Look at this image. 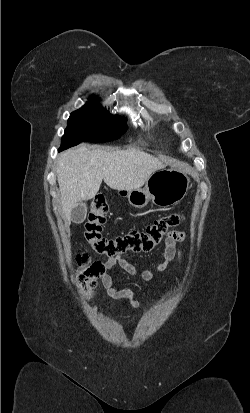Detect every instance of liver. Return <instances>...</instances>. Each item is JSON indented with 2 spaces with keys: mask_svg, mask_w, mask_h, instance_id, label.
Returning a JSON list of instances; mask_svg holds the SVG:
<instances>
[{
  "mask_svg": "<svg viewBox=\"0 0 250 413\" xmlns=\"http://www.w3.org/2000/svg\"><path fill=\"white\" fill-rule=\"evenodd\" d=\"M169 162L166 157L135 148L107 151L83 144L62 152L57 160V180L65 223L70 224L75 206L96 196L102 180L115 190H134Z\"/></svg>",
  "mask_w": 250,
  "mask_h": 413,
  "instance_id": "6515ba94",
  "label": "liver"
}]
</instances>
